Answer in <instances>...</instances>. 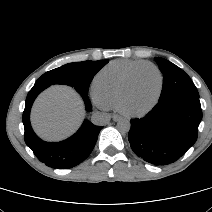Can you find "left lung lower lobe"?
I'll list each match as a JSON object with an SVG mask.
<instances>
[{"label":"left lung lower lobe","mask_w":212,"mask_h":212,"mask_svg":"<svg viewBox=\"0 0 212 212\" xmlns=\"http://www.w3.org/2000/svg\"><path fill=\"white\" fill-rule=\"evenodd\" d=\"M201 119L199 98L171 96L159 100L145 117L131 120L128 140L138 157L154 165H168L196 142Z\"/></svg>","instance_id":"left-lung-lower-lobe-1"}]
</instances>
